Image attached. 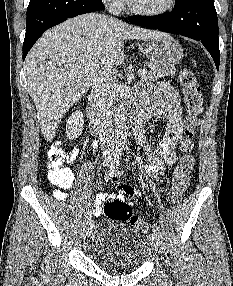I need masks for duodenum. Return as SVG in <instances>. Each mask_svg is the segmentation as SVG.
<instances>
[{
	"label": "duodenum",
	"mask_w": 233,
	"mask_h": 286,
	"mask_svg": "<svg viewBox=\"0 0 233 286\" xmlns=\"http://www.w3.org/2000/svg\"><path fill=\"white\" fill-rule=\"evenodd\" d=\"M87 114L90 120V128L94 132H98L102 130V122L99 118V115L97 113L96 104L94 96L92 95L87 104ZM130 121L138 126L143 123L145 120V116L143 114L142 109L137 103H133L130 107V113H129Z\"/></svg>",
	"instance_id": "obj_1"
}]
</instances>
